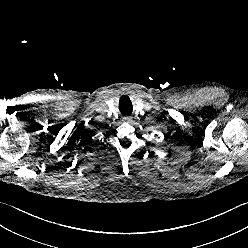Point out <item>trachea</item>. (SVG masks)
<instances>
[{"mask_svg":"<svg viewBox=\"0 0 248 248\" xmlns=\"http://www.w3.org/2000/svg\"><path fill=\"white\" fill-rule=\"evenodd\" d=\"M130 113H131V110L124 112L125 115H129Z\"/></svg>","mask_w":248,"mask_h":248,"instance_id":"1","label":"trachea"}]
</instances>
